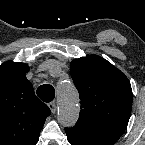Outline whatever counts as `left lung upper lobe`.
<instances>
[{
	"instance_id": "5c2ea615",
	"label": "left lung upper lobe",
	"mask_w": 145,
	"mask_h": 145,
	"mask_svg": "<svg viewBox=\"0 0 145 145\" xmlns=\"http://www.w3.org/2000/svg\"><path fill=\"white\" fill-rule=\"evenodd\" d=\"M70 74L81 99L77 123L128 124L132 89L119 69L104 58L92 55L73 60Z\"/></svg>"
}]
</instances>
